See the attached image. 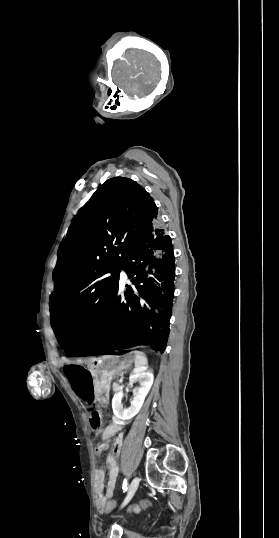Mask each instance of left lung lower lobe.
I'll return each instance as SVG.
<instances>
[{
    "instance_id": "1",
    "label": "left lung lower lobe",
    "mask_w": 279,
    "mask_h": 538,
    "mask_svg": "<svg viewBox=\"0 0 279 538\" xmlns=\"http://www.w3.org/2000/svg\"><path fill=\"white\" fill-rule=\"evenodd\" d=\"M124 269L135 290L126 285V301L121 302L117 287L102 320L88 336L60 333L57 339L67 356L107 354L138 345L164 352L174 298L171 238L153 224L131 250Z\"/></svg>"
}]
</instances>
